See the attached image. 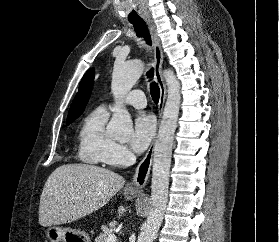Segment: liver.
Wrapping results in <instances>:
<instances>
[{"mask_svg": "<svg viewBox=\"0 0 279 242\" xmlns=\"http://www.w3.org/2000/svg\"><path fill=\"white\" fill-rule=\"evenodd\" d=\"M125 184V179L105 168L67 164L48 177L39 204L43 227L70 223L104 206Z\"/></svg>", "mask_w": 279, "mask_h": 242, "instance_id": "6515ba94", "label": "liver"}]
</instances>
